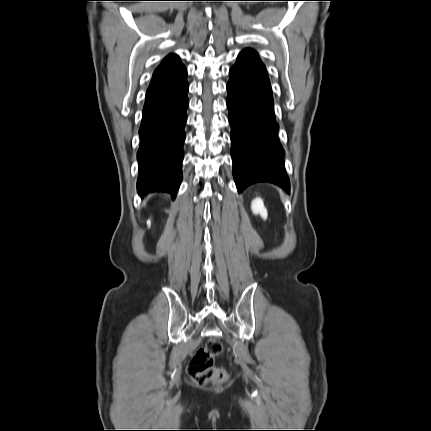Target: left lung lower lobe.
I'll use <instances>...</instances> for the list:
<instances>
[{"label":"left lung lower lobe","instance_id":"left-lung-lower-lobe-1","mask_svg":"<svg viewBox=\"0 0 431 431\" xmlns=\"http://www.w3.org/2000/svg\"><path fill=\"white\" fill-rule=\"evenodd\" d=\"M227 90L233 176L238 191L256 182H270L289 192L266 69L235 64Z\"/></svg>","mask_w":431,"mask_h":431}]
</instances>
